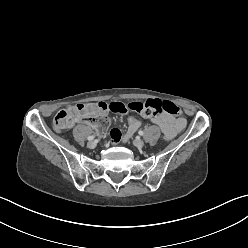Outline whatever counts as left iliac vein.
I'll list each match as a JSON object with an SVG mask.
<instances>
[{"mask_svg": "<svg viewBox=\"0 0 248 248\" xmlns=\"http://www.w3.org/2000/svg\"><path fill=\"white\" fill-rule=\"evenodd\" d=\"M133 144L137 147V148H142L144 146V141L137 138L134 140Z\"/></svg>", "mask_w": 248, "mask_h": 248, "instance_id": "4c4485c4", "label": "left iliac vein"}]
</instances>
